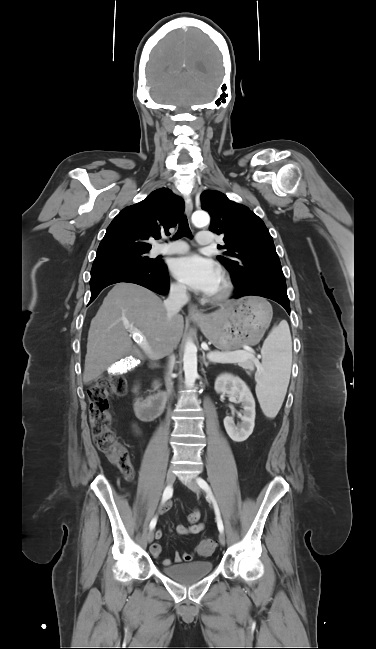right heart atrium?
Returning <instances> with one entry per match:
<instances>
[{
	"instance_id": "1",
	"label": "right heart atrium",
	"mask_w": 376,
	"mask_h": 649,
	"mask_svg": "<svg viewBox=\"0 0 376 649\" xmlns=\"http://www.w3.org/2000/svg\"><path fill=\"white\" fill-rule=\"evenodd\" d=\"M171 293L173 296L179 299H183L186 296V289L184 288L183 285L179 283H173L171 284Z\"/></svg>"
}]
</instances>
